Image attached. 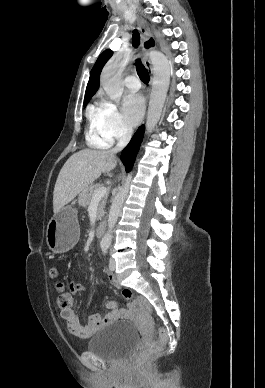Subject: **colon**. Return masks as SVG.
<instances>
[{"label": "colon", "mask_w": 265, "mask_h": 388, "mask_svg": "<svg viewBox=\"0 0 265 388\" xmlns=\"http://www.w3.org/2000/svg\"><path fill=\"white\" fill-rule=\"evenodd\" d=\"M57 273H58L57 268H53L51 270L52 276H56ZM56 289L58 292V296H57L58 307L61 308L62 310L71 308L74 304V296L72 291L66 290L65 286L61 283L57 284ZM122 295L127 300L134 301L147 316L151 315V311H152L151 305L146 299H144L143 297L134 295L133 292L129 289H124L122 291ZM167 338H168L167 331L163 327H159L158 339L151 341L146 348L135 349L130 356L131 361L134 363L139 362L143 357L158 351L161 345L167 341Z\"/></svg>", "instance_id": "1"}]
</instances>
